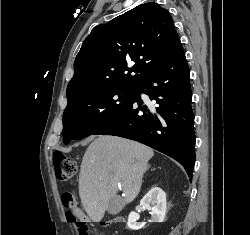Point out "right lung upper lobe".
I'll return each mask as SVG.
<instances>
[{"instance_id":"right-lung-upper-lobe-1","label":"right lung upper lobe","mask_w":250,"mask_h":235,"mask_svg":"<svg viewBox=\"0 0 250 235\" xmlns=\"http://www.w3.org/2000/svg\"><path fill=\"white\" fill-rule=\"evenodd\" d=\"M179 40L169 12L152 2L96 26L76 56L68 103L101 89L137 87L168 60Z\"/></svg>"}]
</instances>
